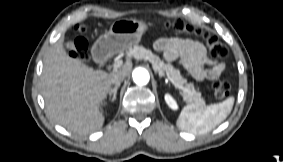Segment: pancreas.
Masks as SVG:
<instances>
[{
  "instance_id": "pancreas-1",
  "label": "pancreas",
  "mask_w": 283,
  "mask_h": 162,
  "mask_svg": "<svg viewBox=\"0 0 283 162\" xmlns=\"http://www.w3.org/2000/svg\"><path fill=\"white\" fill-rule=\"evenodd\" d=\"M130 52L136 59L151 60L153 69L156 72L164 73L168 78L173 79L178 85L183 87L185 85V90H183V92L188 101L199 106L204 105L205 102L201 93L194 89L193 84H187L186 79L183 78L180 71L173 65L165 63L164 60H161L157 55L153 54L150 50L145 49L143 46H135Z\"/></svg>"
}]
</instances>
